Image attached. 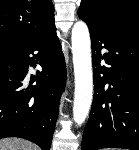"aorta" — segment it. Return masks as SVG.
Masks as SVG:
<instances>
[{
	"mask_svg": "<svg viewBox=\"0 0 139 150\" xmlns=\"http://www.w3.org/2000/svg\"><path fill=\"white\" fill-rule=\"evenodd\" d=\"M71 40L75 74L73 119L80 126L88 116L93 97L91 41L85 22L74 24Z\"/></svg>",
	"mask_w": 139,
	"mask_h": 150,
	"instance_id": "762f6f07",
	"label": "aorta"
}]
</instances>
